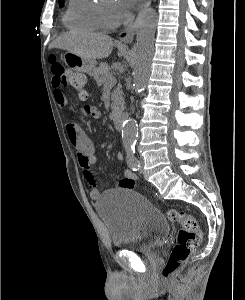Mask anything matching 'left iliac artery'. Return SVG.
Returning a JSON list of instances; mask_svg holds the SVG:
<instances>
[{
    "instance_id": "1",
    "label": "left iliac artery",
    "mask_w": 245,
    "mask_h": 300,
    "mask_svg": "<svg viewBox=\"0 0 245 300\" xmlns=\"http://www.w3.org/2000/svg\"><path fill=\"white\" fill-rule=\"evenodd\" d=\"M126 151H127V163L129 165V167L133 171L139 170L140 165H139L138 160H137V158L135 156V148H134V146L127 147Z\"/></svg>"
}]
</instances>
